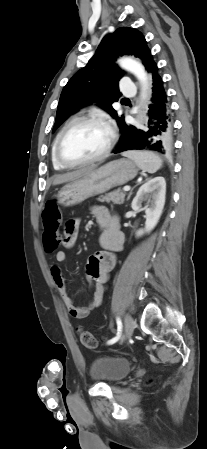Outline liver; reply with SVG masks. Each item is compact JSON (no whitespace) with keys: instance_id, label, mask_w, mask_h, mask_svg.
Masks as SVG:
<instances>
[{"instance_id":"6515ba94","label":"liver","mask_w":207,"mask_h":449,"mask_svg":"<svg viewBox=\"0 0 207 449\" xmlns=\"http://www.w3.org/2000/svg\"><path fill=\"white\" fill-rule=\"evenodd\" d=\"M94 168L95 167H88V168L80 169V170L73 171L70 173L57 175L53 180V185H59V184L67 183V182H72V181L86 175L87 173L91 172L92 170H94Z\"/></svg>"}]
</instances>
